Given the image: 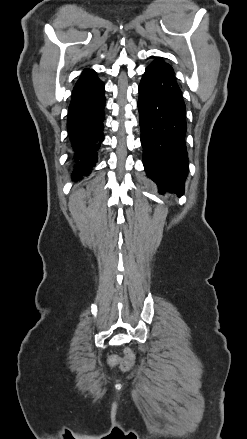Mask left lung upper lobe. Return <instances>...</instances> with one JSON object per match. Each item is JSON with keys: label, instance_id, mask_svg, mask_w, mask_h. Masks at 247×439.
Masks as SVG:
<instances>
[{"label": "left lung upper lobe", "instance_id": "left-lung-upper-lobe-1", "mask_svg": "<svg viewBox=\"0 0 247 439\" xmlns=\"http://www.w3.org/2000/svg\"><path fill=\"white\" fill-rule=\"evenodd\" d=\"M160 59V58H159ZM160 60H162V59H160ZM163 61V60H162ZM164 62V61H163ZM165 63V62H164ZM166 64V63H165ZM168 65V64H167ZM170 68H172L170 65H168Z\"/></svg>", "mask_w": 247, "mask_h": 439}]
</instances>
